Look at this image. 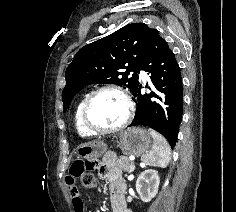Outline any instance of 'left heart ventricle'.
<instances>
[{"mask_svg":"<svg viewBox=\"0 0 236 212\" xmlns=\"http://www.w3.org/2000/svg\"><path fill=\"white\" fill-rule=\"evenodd\" d=\"M126 110V103L118 93L104 91L93 99L89 119L95 127L114 128L123 122Z\"/></svg>","mask_w":236,"mask_h":212,"instance_id":"1","label":"left heart ventricle"}]
</instances>
